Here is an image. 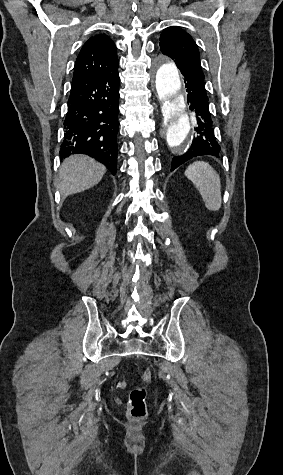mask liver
<instances>
[{
    "label": "liver",
    "mask_w": 283,
    "mask_h": 475,
    "mask_svg": "<svg viewBox=\"0 0 283 475\" xmlns=\"http://www.w3.org/2000/svg\"><path fill=\"white\" fill-rule=\"evenodd\" d=\"M106 172L105 166L89 156H70L66 158L59 170L62 196L78 194L99 184Z\"/></svg>",
    "instance_id": "obj_1"
}]
</instances>
